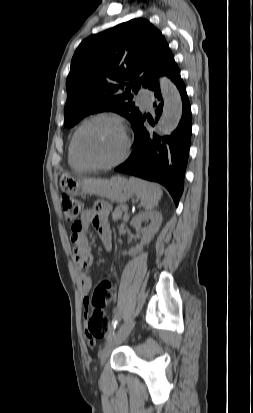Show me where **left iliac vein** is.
I'll return each mask as SVG.
<instances>
[{"label": "left iliac vein", "instance_id": "left-iliac-vein-1", "mask_svg": "<svg viewBox=\"0 0 253 413\" xmlns=\"http://www.w3.org/2000/svg\"><path fill=\"white\" fill-rule=\"evenodd\" d=\"M134 326H135V321L131 320V321L125 322L118 329L114 337L105 345V347L100 353L101 365L105 363V361L108 359L113 349L117 347L118 345H120L126 339V337L130 334Z\"/></svg>", "mask_w": 253, "mask_h": 413}]
</instances>
